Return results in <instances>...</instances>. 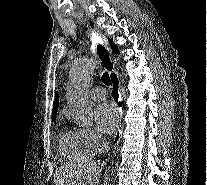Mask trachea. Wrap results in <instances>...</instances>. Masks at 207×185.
I'll use <instances>...</instances> for the list:
<instances>
[{
	"instance_id": "1",
	"label": "trachea",
	"mask_w": 207,
	"mask_h": 185,
	"mask_svg": "<svg viewBox=\"0 0 207 185\" xmlns=\"http://www.w3.org/2000/svg\"><path fill=\"white\" fill-rule=\"evenodd\" d=\"M97 50H98V55L100 56L101 59H102L103 55H107L105 48L102 47L101 45H98ZM102 82L105 83V85H111V80H110L109 74L107 72H105L102 75Z\"/></svg>"
}]
</instances>
